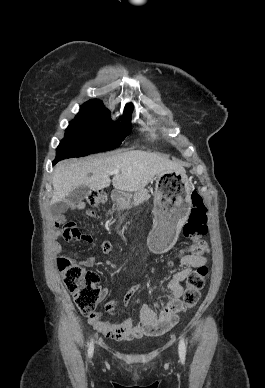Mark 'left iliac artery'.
<instances>
[{"label":"left iliac artery","instance_id":"left-iliac-artery-1","mask_svg":"<svg viewBox=\"0 0 265 388\" xmlns=\"http://www.w3.org/2000/svg\"><path fill=\"white\" fill-rule=\"evenodd\" d=\"M179 354L181 356H185L186 354V345L183 338H181L179 342Z\"/></svg>","mask_w":265,"mask_h":388}]
</instances>
